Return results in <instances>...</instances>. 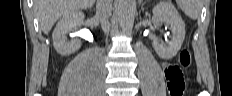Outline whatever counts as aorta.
Here are the masks:
<instances>
[{"label":"aorta","mask_w":232,"mask_h":96,"mask_svg":"<svg viewBox=\"0 0 232 96\" xmlns=\"http://www.w3.org/2000/svg\"><path fill=\"white\" fill-rule=\"evenodd\" d=\"M134 10V0L118 1V20L121 28H126L131 24Z\"/></svg>","instance_id":"aorta-1"}]
</instances>
